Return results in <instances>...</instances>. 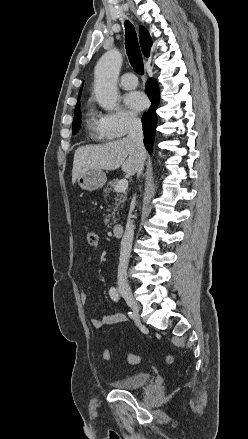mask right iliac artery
<instances>
[{"instance_id": "obj_1", "label": "right iliac artery", "mask_w": 248, "mask_h": 439, "mask_svg": "<svg viewBox=\"0 0 248 439\" xmlns=\"http://www.w3.org/2000/svg\"><path fill=\"white\" fill-rule=\"evenodd\" d=\"M109 295H110L111 299L115 302H118V300L120 299L118 291L114 287L110 288Z\"/></svg>"}]
</instances>
